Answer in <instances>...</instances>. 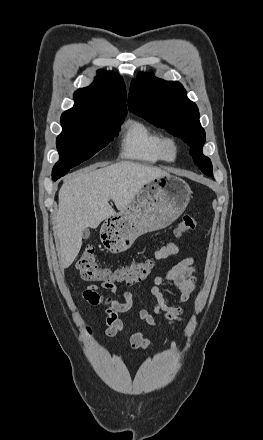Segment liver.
<instances>
[{"label":"liver","mask_w":263,"mask_h":440,"mask_svg":"<svg viewBox=\"0 0 263 440\" xmlns=\"http://www.w3.org/2000/svg\"><path fill=\"white\" fill-rule=\"evenodd\" d=\"M165 175L168 173L157 167L122 161L100 169L89 167L69 177L58 194L54 225L62 267H69L77 257L86 228L95 229L116 214L110 199L122 211L147 183Z\"/></svg>","instance_id":"6515ba94"}]
</instances>
